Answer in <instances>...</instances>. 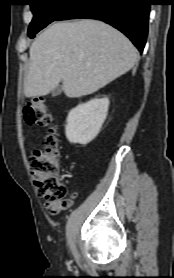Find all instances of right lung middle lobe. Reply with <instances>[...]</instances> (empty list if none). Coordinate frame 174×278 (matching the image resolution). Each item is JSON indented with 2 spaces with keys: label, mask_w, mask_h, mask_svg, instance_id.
Wrapping results in <instances>:
<instances>
[{
  "label": "right lung middle lobe",
  "mask_w": 174,
  "mask_h": 278,
  "mask_svg": "<svg viewBox=\"0 0 174 278\" xmlns=\"http://www.w3.org/2000/svg\"><path fill=\"white\" fill-rule=\"evenodd\" d=\"M76 0H29L33 20L29 25L28 36L35 34L56 20L59 15Z\"/></svg>",
  "instance_id": "right-lung-middle-lobe-1"
}]
</instances>
